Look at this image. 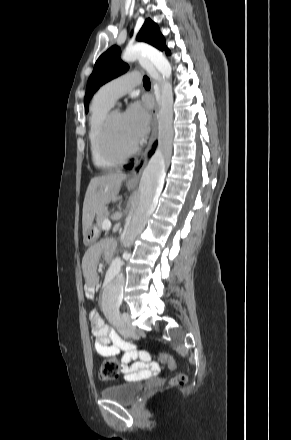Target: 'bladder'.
<instances>
[{
    "label": "bladder",
    "instance_id": "31cf9c89",
    "mask_svg": "<svg viewBox=\"0 0 291 440\" xmlns=\"http://www.w3.org/2000/svg\"><path fill=\"white\" fill-rule=\"evenodd\" d=\"M141 387L136 383H121L104 387L101 391L103 398L120 404H130L139 395Z\"/></svg>",
    "mask_w": 291,
    "mask_h": 440
}]
</instances>
